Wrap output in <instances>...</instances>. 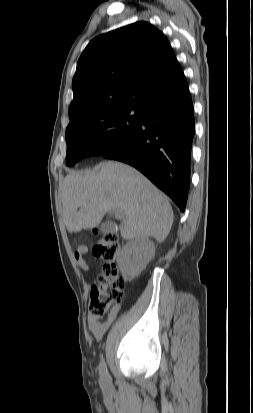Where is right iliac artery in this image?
Wrapping results in <instances>:
<instances>
[{"label":"right iliac artery","instance_id":"obj_1","mask_svg":"<svg viewBox=\"0 0 253 413\" xmlns=\"http://www.w3.org/2000/svg\"><path fill=\"white\" fill-rule=\"evenodd\" d=\"M99 372H100V375H101L102 377H104V376L107 375V367H106V363H105L104 360H101V362H100Z\"/></svg>","mask_w":253,"mask_h":413}]
</instances>
